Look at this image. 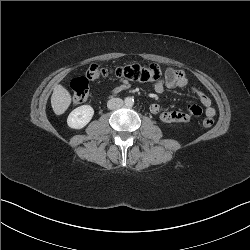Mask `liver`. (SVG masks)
<instances>
[{"mask_svg":"<svg viewBox=\"0 0 250 250\" xmlns=\"http://www.w3.org/2000/svg\"><path fill=\"white\" fill-rule=\"evenodd\" d=\"M71 104V95L62 85L55 86L51 96V106L56 115H62Z\"/></svg>","mask_w":250,"mask_h":250,"instance_id":"liver-1","label":"liver"}]
</instances>
